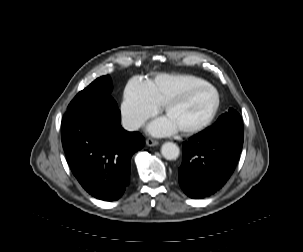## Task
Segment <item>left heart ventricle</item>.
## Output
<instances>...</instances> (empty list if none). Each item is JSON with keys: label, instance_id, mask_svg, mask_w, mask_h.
Returning a JSON list of instances; mask_svg holds the SVG:
<instances>
[{"label": "left heart ventricle", "instance_id": "1", "mask_svg": "<svg viewBox=\"0 0 303 252\" xmlns=\"http://www.w3.org/2000/svg\"><path fill=\"white\" fill-rule=\"evenodd\" d=\"M213 102L212 91L206 87L199 88L186 101L173 106L166 117L176 128L195 126L204 121Z\"/></svg>", "mask_w": 303, "mask_h": 252}]
</instances>
